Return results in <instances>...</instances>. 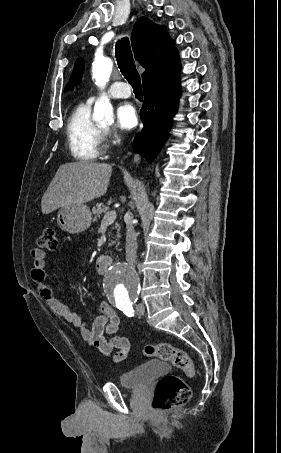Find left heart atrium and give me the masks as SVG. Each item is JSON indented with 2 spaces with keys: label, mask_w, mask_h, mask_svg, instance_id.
<instances>
[{
  "label": "left heart atrium",
  "mask_w": 281,
  "mask_h": 453,
  "mask_svg": "<svg viewBox=\"0 0 281 453\" xmlns=\"http://www.w3.org/2000/svg\"><path fill=\"white\" fill-rule=\"evenodd\" d=\"M117 124L124 129H132L138 124V113L130 103H123L117 109Z\"/></svg>",
  "instance_id": "left-heart-atrium-1"
}]
</instances>
